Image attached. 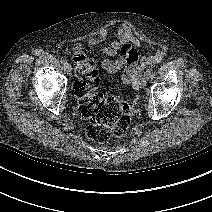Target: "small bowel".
Returning <instances> with one entry per match:
<instances>
[{
    "label": "small bowel",
    "instance_id": "small-bowel-1",
    "mask_svg": "<svg viewBox=\"0 0 212 212\" xmlns=\"http://www.w3.org/2000/svg\"><path fill=\"white\" fill-rule=\"evenodd\" d=\"M111 26H106L95 37L90 38L86 45L95 47L105 41ZM138 39L133 35L128 26H122L118 31L117 39L103 48L106 58L102 61L103 68L108 72L123 70V81L125 83L139 84L142 71L150 66L159 63L165 56V50H157L154 54L140 56L137 47ZM83 43H76L72 47L73 54L82 52ZM117 56L116 59L111 57Z\"/></svg>",
    "mask_w": 212,
    "mask_h": 212
}]
</instances>
